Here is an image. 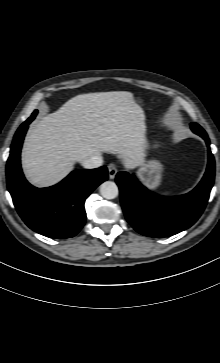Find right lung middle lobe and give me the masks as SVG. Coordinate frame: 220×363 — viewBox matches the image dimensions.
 I'll return each instance as SVG.
<instances>
[{
	"label": "right lung middle lobe",
	"instance_id": "obj_1",
	"mask_svg": "<svg viewBox=\"0 0 220 363\" xmlns=\"http://www.w3.org/2000/svg\"><path fill=\"white\" fill-rule=\"evenodd\" d=\"M36 114H37V110H35V111L33 112L32 117H33V118H35Z\"/></svg>",
	"mask_w": 220,
	"mask_h": 363
}]
</instances>
